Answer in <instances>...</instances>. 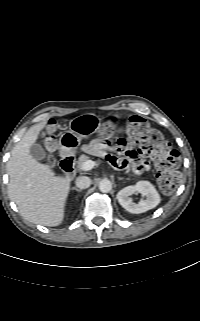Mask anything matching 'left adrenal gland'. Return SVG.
<instances>
[{
  "mask_svg": "<svg viewBox=\"0 0 200 321\" xmlns=\"http://www.w3.org/2000/svg\"><path fill=\"white\" fill-rule=\"evenodd\" d=\"M120 180H123L124 178H119Z\"/></svg>",
  "mask_w": 200,
  "mask_h": 321,
  "instance_id": "left-adrenal-gland-1",
  "label": "left adrenal gland"
}]
</instances>
